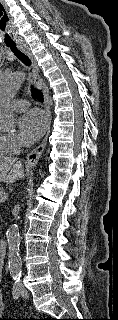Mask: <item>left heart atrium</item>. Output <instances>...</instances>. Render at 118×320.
I'll return each instance as SVG.
<instances>
[{
	"label": "left heart atrium",
	"instance_id": "1",
	"mask_svg": "<svg viewBox=\"0 0 118 320\" xmlns=\"http://www.w3.org/2000/svg\"><path fill=\"white\" fill-rule=\"evenodd\" d=\"M48 120L39 109H31L19 120V129L24 139L31 143L38 140L46 131Z\"/></svg>",
	"mask_w": 118,
	"mask_h": 320
}]
</instances>
